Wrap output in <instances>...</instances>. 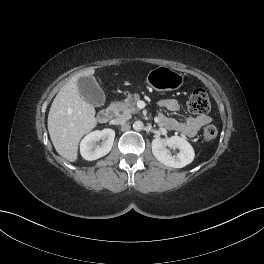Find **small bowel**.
Here are the masks:
<instances>
[{"instance_id":"c3829d8e","label":"small bowel","mask_w":264,"mask_h":264,"mask_svg":"<svg viewBox=\"0 0 264 264\" xmlns=\"http://www.w3.org/2000/svg\"><path fill=\"white\" fill-rule=\"evenodd\" d=\"M158 106L162 109L176 112L179 110V104L174 99H161L158 102ZM161 126L170 131H178L188 137L195 136L200 128L211 121V117L208 115H198L195 117H188L185 121H178L174 118H170L160 113L157 117Z\"/></svg>"}]
</instances>
